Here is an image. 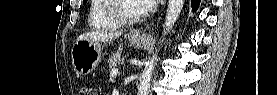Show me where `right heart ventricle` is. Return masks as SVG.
Returning <instances> with one entry per match:
<instances>
[{
    "mask_svg": "<svg viewBox=\"0 0 277 95\" xmlns=\"http://www.w3.org/2000/svg\"><path fill=\"white\" fill-rule=\"evenodd\" d=\"M110 0H92L89 11V26L93 29H113L120 24L107 15Z\"/></svg>",
    "mask_w": 277,
    "mask_h": 95,
    "instance_id": "right-heart-ventricle-1",
    "label": "right heart ventricle"
}]
</instances>
